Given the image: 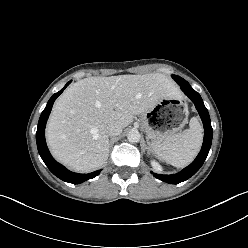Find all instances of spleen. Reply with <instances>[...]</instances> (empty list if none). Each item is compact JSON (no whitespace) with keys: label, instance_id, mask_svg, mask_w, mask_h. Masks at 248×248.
<instances>
[{"label":"spleen","instance_id":"obj_1","mask_svg":"<svg viewBox=\"0 0 248 248\" xmlns=\"http://www.w3.org/2000/svg\"><path fill=\"white\" fill-rule=\"evenodd\" d=\"M189 125V129L153 145L154 152L175 167H184L191 163L201 148L202 126L196 117L190 120Z\"/></svg>","mask_w":248,"mask_h":248}]
</instances>
